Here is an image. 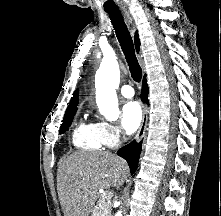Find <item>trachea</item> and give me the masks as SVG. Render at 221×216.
Segmentation results:
<instances>
[{
	"label": "trachea",
	"mask_w": 221,
	"mask_h": 216,
	"mask_svg": "<svg viewBox=\"0 0 221 216\" xmlns=\"http://www.w3.org/2000/svg\"><path fill=\"white\" fill-rule=\"evenodd\" d=\"M106 12L110 16L120 46L127 60L131 76L134 79V81L140 82L142 78V69L136 58L133 40L122 18V15L118 10H106Z\"/></svg>",
	"instance_id": "3493384b"
}]
</instances>
